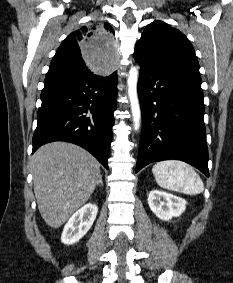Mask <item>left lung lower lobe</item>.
Here are the masks:
<instances>
[{"instance_id": "1", "label": "left lung lower lobe", "mask_w": 233, "mask_h": 283, "mask_svg": "<svg viewBox=\"0 0 233 283\" xmlns=\"http://www.w3.org/2000/svg\"><path fill=\"white\" fill-rule=\"evenodd\" d=\"M134 59L141 67L138 96L143 124L135 172L152 162L177 159L209 176L199 69Z\"/></svg>"}]
</instances>
